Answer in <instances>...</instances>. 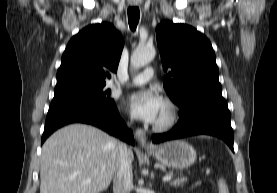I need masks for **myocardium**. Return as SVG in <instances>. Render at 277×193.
<instances>
[{"mask_svg": "<svg viewBox=\"0 0 277 193\" xmlns=\"http://www.w3.org/2000/svg\"><path fill=\"white\" fill-rule=\"evenodd\" d=\"M163 102L168 108V114L164 120L153 125V129L160 132L171 129L180 117L179 107L173 100L165 98Z\"/></svg>", "mask_w": 277, "mask_h": 193, "instance_id": "myocardium-1", "label": "myocardium"}]
</instances>
